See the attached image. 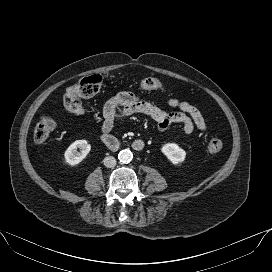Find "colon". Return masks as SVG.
Masks as SVG:
<instances>
[{"instance_id": "obj_1", "label": "colon", "mask_w": 272, "mask_h": 272, "mask_svg": "<svg viewBox=\"0 0 272 272\" xmlns=\"http://www.w3.org/2000/svg\"><path fill=\"white\" fill-rule=\"evenodd\" d=\"M105 78L100 74L84 77L75 85L67 88L63 96V105L65 109L71 113L81 114L84 107L81 103L82 98H90L95 96L101 90ZM139 90H163L165 85L156 78H146L136 83ZM55 128L54 120L49 116H43L34 129V141L37 144H43L47 141L50 134ZM223 148V142L220 139H212L209 141L207 150L210 153H218Z\"/></svg>"}]
</instances>
